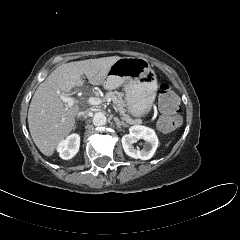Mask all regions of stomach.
Here are the masks:
<instances>
[{
	"instance_id": "stomach-1",
	"label": "stomach",
	"mask_w": 240,
	"mask_h": 240,
	"mask_svg": "<svg viewBox=\"0 0 240 240\" xmlns=\"http://www.w3.org/2000/svg\"><path fill=\"white\" fill-rule=\"evenodd\" d=\"M103 85L108 90L124 86L126 106L134 117L150 112L157 92L156 74L142 57L120 58L110 68Z\"/></svg>"
}]
</instances>
